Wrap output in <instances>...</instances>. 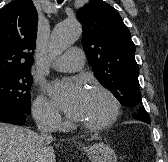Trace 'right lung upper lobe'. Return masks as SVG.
Segmentation results:
<instances>
[{
  "instance_id": "1",
  "label": "right lung upper lobe",
  "mask_w": 168,
  "mask_h": 162,
  "mask_svg": "<svg viewBox=\"0 0 168 162\" xmlns=\"http://www.w3.org/2000/svg\"><path fill=\"white\" fill-rule=\"evenodd\" d=\"M37 22L31 0H15L0 10V76L30 71Z\"/></svg>"
}]
</instances>
